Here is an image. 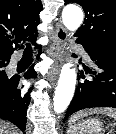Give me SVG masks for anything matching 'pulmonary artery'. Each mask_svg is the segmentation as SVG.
I'll list each match as a JSON object with an SVG mask.
<instances>
[{"mask_svg":"<svg viewBox=\"0 0 116 134\" xmlns=\"http://www.w3.org/2000/svg\"><path fill=\"white\" fill-rule=\"evenodd\" d=\"M76 48L79 51V53L82 55V57L85 59V61L90 62V56H89L88 52L80 46H76ZM17 63H18V59L12 58L9 63V67L14 68V67H16Z\"/></svg>","mask_w":116,"mask_h":134,"instance_id":"pulmonary-artery-1","label":"pulmonary artery"}]
</instances>
